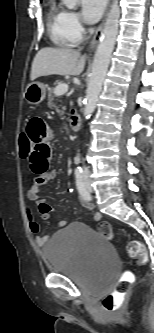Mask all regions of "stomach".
I'll return each instance as SVG.
<instances>
[{
	"label": "stomach",
	"mask_w": 154,
	"mask_h": 333,
	"mask_svg": "<svg viewBox=\"0 0 154 333\" xmlns=\"http://www.w3.org/2000/svg\"><path fill=\"white\" fill-rule=\"evenodd\" d=\"M46 95V86L43 83L32 82L25 90L24 97L29 104H40Z\"/></svg>",
	"instance_id": "0dacf381"
}]
</instances>
